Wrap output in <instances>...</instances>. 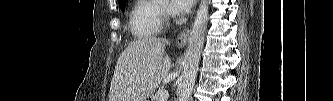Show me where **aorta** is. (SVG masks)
<instances>
[{"label":"aorta","instance_id":"762f6f07","mask_svg":"<svg viewBox=\"0 0 333 101\" xmlns=\"http://www.w3.org/2000/svg\"><path fill=\"white\" fill-rule=\"evenodd\" d=\"M208 1L202 0L197 11L184 58L183 83L179 101H189L195 83L208 22Z\"/></svg>","mask_w":333,"mask_h":101}]
</instances>
